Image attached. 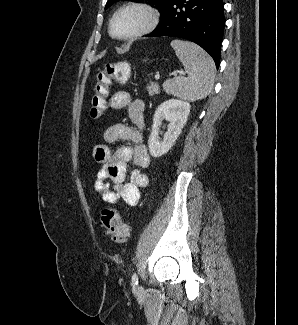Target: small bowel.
Returning <instances> with one entry per match:
<instances>
[{
	"instance_id": "obj_1",
	"label": "small bowel",
	"mask_w": 298,
	"mask_h": 325,
	"mask_svg": "<svg viewBox=\"0 0 298 325\" xmlns=\"http://www.w3.org/2000/svg\"><path fill=\"white\" fill-rule=\"evenodd\" d=\"M110 107L114 110L127 108L135 128L118 123L108 127L103 135L104 143L94 148L93 156L101 169L94 179V189L101 199L108 204L122 200L135 206L140 199V190L149 183L144 170L150 164V155L144 143V105L132 101L128 92L118 91L110 98ZM120 141L131 145L119 147L115 152L110 145ZM132 162L134 169L129 181H125L127 163Z\"/></svg>"
}]
</instances>
